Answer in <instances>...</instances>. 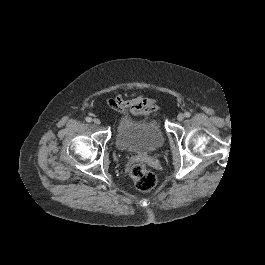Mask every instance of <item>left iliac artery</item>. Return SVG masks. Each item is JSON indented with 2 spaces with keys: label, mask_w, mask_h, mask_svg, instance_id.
Returning a JSON list of instances; mask_svg holds the SVG:
<instances>
[{
  "label": "left iliac artery",
  "mask_w": 265,
  "mask_h": 265,
  "mask_svg": "<svg viewBox=\"0 0 265 265\" xmlns=\"http://www.w3.org/2000/svg\"><path fill=\"white\" fill-rule=\"evenodd\" d=\"M191 113L190 112H185V117H190Z\"/></svg>",
  "instance_id": "44dca946"
}]
</instances>
